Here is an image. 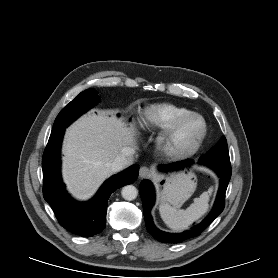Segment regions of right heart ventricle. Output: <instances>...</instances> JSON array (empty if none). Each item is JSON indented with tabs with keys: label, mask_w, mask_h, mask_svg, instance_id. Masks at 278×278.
<instances>
[{
	"label": "right heart ventricle",
	"mask_w": 278,
	"mask_h": 278,
	"mask_svg": "<svg viewBox=\"0 0 278 278\" xmlns=\"http://www.w3.org/2000/svg\"><path fill=\"white\" fill-rule=\"evenodd\" d=\"M188 113H191L189 109L174 104H152L143 111L142 122L147 127L166 130Z\"/></svg>",
	"instance_id": "obj_1"
}]
</instances>
